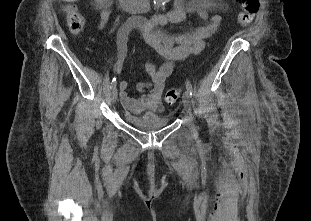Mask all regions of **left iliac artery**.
<instances>
[{"instance_id":"44dca946","label":"left iliac artery","mask_w":311,"mask_h":221,"mask_svg":"<svg viewBox=\"0 0 311 221\" xmlns=\"http://www.w3.org/2000/svg\"><path fill=\"white\" fill-rule=\"evenodd\" d=\"M186 89H187V92L190 94V96L193 95V88H192V85L189 81H186Z\"/></svg>"}]
</instances>
